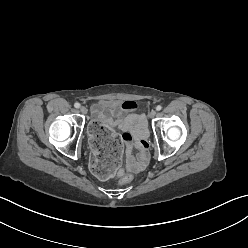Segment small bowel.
Returning <instances> with one entry per match:
<instances>
[{"label": "small bowel", "instance_id": "small-bowel-1", "mask_svg": "<svg viewBox=\"0 0 248 248\" xmlns=\"http://www.w3.org/2000/svg\"><path fill=\"white\" fill-rule=\"evenodd\" d=\"M107 111L112 117L124 113L120 118H108L102 121L108 128L118 127L123 131L122 141L125 144V167L132 173L140 172L147 164L149 158V144L147 141L146 120L143 115L136 113L137 104L127 100L118 104L114 101H105ZM137 149V156L133 149ZM122 173V170L120 171Z\"/></svg>", "mask_w": 248, "mask_h": 248}]
</instances>
